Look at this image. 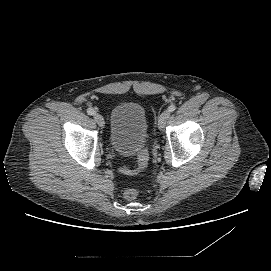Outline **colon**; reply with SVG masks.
I'll list each match as a JSON object with an SVG mask.
<instances>
[{
	"label": "colon",
	"instance_id": "colon-1",
	"mask_svg": "<svg viewBox=\"0 0 271 271\" xmlns=\"http://www.w3.org/2000/svg\"><path fill=\"white\" fill-rule=\"evenodd\" d=\"M147 154L146 153H141L140 156H139V159H138V166L136 169L132 170V169H128V168H123V172L125 173H132V172H136L142 168H144L147 164ZM139 196V192L137 189L135 188H128L125 190L124 192V197L127 199V200H135L137 199Z\"/></svg>",
	"mask_w": 271,
	"mask_h": 271
}]
</instances>
